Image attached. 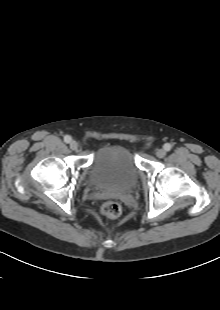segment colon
Returning <instances> with one entry per match:
<instances>
[{
    "instance_id": "colon-1",
    "label": "colon",
    "mask_w": 220,
    "mask_h": 310,
    "mask_svg": "<svg viewBox=\"0 0 220 310\" xmlns=\"http://www.w3.org/2000/svg\"><path fill=\"white\" fill-rule=\"evenodd\" d=\"M101 213L110 218L118 217L121 214V206L116 202H107L102 205Z\"/></svg>"
}]
</instances>
